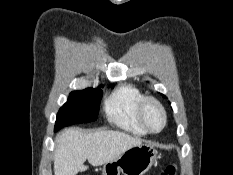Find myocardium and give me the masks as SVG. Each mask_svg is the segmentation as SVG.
Instances as JSON below:
<instances>
[{"instance_id": "1", "label": "myocardium", "mask_w": 233, "mask_h": 175, "mask_svg": "<svg viewBox=\"0 0 233 175\" xmlns=\"http://www.w3.org/2000/svg\"><path fill=\"white\" fill-rule=\"evenodd\" d=\"M149 104H154L159 109L160 113L162 114L163 123L159 129L154 130L150 128L149 124L147 123L145 112ZM138 117L143 127L146 129L147 132H150V133H158L162 131L167 124V113H166V110L163 104L157 98L152 97V96L144 97L141 100L138 106Z\"/></svg>"}]
</instances>
